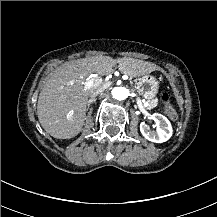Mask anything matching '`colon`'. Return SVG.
I'll return each instance as SVG.
<instances>
[{"mask_svg": "<svg viewBox=\"0 0 217 217\" xmlns=\"http://www.w3.org/2000/svg\"><path fill=\"white\" fill-rule=\"evenodd\" d=\"M159 97H160V102H161L162 106L165 108H168L170 105L169 93L165 89H162L160 94H159Z\"/></svg>", "mask_w": 217, "mask_h": 217, "instance_id": "1", "label": "colon"}]
</instances>
